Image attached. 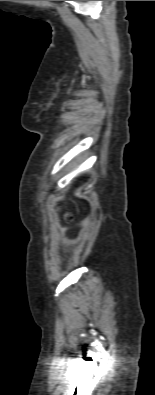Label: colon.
<instances>
[{
    "label": "colon",
    "instance_id": "5ec220e1",
    "mask_svg": "<svg viewBox=\"0 0 155 395\" xmlns=\"http://www.w3.org/2000/svg\"><path fill=\"white\" fill-rule=\"evenodd\" d=\"M66 218L68 219V218H69V216L67 215V216H66Z\"/></svg>",
    "mask_w": 155,
    "mask_h": 395
}]
</instances>
